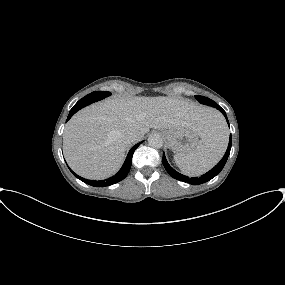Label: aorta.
Listing matches in <instances>:
<instances>
[{"label": "aorta", "mask_w": 285, "mask_h": 285, "mask_svg": "<svg viewBox=\"0 0 285 285\" xmlns=\"http://www.w3.org/2000/svg\"><path fill=\"white\" fill-rule=\"evenodd\" d=\"M148 144L153 148H161L163 146V140L159 134H151L148 137Z\"/></svg>", "instance_id": "aorta-1"}]
</instances>
